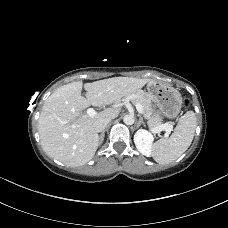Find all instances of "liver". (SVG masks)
<instances>
[{"mask_svg": "<svg viewBox=\"0 0 228 228\" xmlns=\"http://www.w3.org/2000/svg\"><path fill=\"white\" fill-rule=\"evenodd\" d=\"M151 79L113 77L92 83L72 82L56 89L43 105L38 132L45 153L67 166L78 167L90 161L99 146L94 123L114 119L120 110L105 109L90 117L82 111L92 106L111 105L138 92ZM86 91V98L81 95Z\"/></svg>", "mask_w": 228, "mask_h": 228, "instance_id": "6515ba94", "label": "liver"}]
</instances>
